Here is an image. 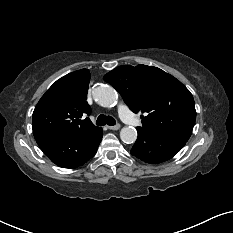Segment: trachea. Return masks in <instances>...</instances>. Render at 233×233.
Masks as SVG:
<instances>
[{"instance_id":"obj_1","label":"trachea","mask_w":233,"mask_h":233,"mask_svg":"<svg viewBox=\"0 0 233 233\" xmlns=\"http://www.w3.org/2000/svg\"><path fill=\"white\" fill-rule=\"evenodd\" d=\"M96 124L99 125V126H103L105 124L113 126V125L116 124V121L111 116H105V115L101 114V115L98 116Z\"/></svg>"}]
</instances>
